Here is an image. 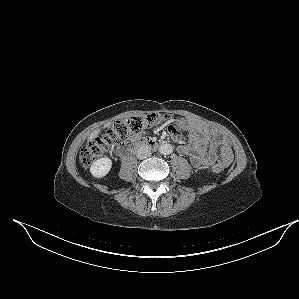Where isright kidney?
I'll use <instances>...</instances> for the list:
<instances>
[{
    "label": "right kidney",
    "instance_id": "1",
    "mask_svg": "<svg viewBox=\"0 0 299 299\" xmlns=\"http://www.w3.org/2000/svg\"><path fill=\"white\" fill-rule=\"evenodd\" d=\"M112 167V161L111 159L105 157L100 158L93 162L90 168V172L95 178H103L105 177Z\"/></svg>",
    "mask_w": 299,
    "mask_h": 299
}]
</instances>
